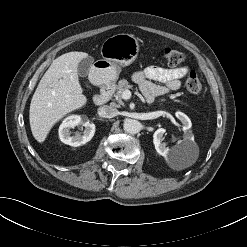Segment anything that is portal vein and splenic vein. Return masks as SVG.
Wrapping results in <instances>:
<instances>
[{
	"mask_svg": "<svg viewBox=\"0 0 247 247\" xmlns=\"http://www.w3.org/2000/svg\"><path fill=\"white\" fill-rule=\"evenodd\" d=\"M131 91L130 90H128V89H126V90H124L123 92H122V99H124V100H128V99H130L131 98Z\"/></svg>",
	"mask_w": 247,
	"mask_h": 247,
	"instance_id": "1",
	"label": "portal vein and splenic vein"
}]
</instances>
